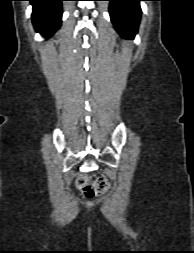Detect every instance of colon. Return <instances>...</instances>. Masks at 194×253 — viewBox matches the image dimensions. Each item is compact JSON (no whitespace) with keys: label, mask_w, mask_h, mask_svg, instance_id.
Here are the masks:
<instances>
[{"label":"colon","mask_w":194,"mask_h":253,"mask_svg":"<svg viewBox=\"0 0 194 253\" xmlns=\"http://www.w3.org/2000/svg\"><path fill=\"white\" fill-rule=\"evenodd\" d=\"M77 187L87 197H97L106 193L110 187V183L107 179L102 177L91 178L87 175H83L77 179Z\"/></svg>","instance_id":"5ec220e1"}]
</instances>
